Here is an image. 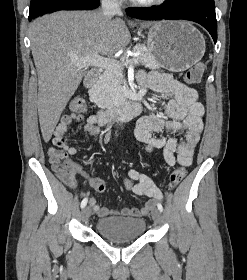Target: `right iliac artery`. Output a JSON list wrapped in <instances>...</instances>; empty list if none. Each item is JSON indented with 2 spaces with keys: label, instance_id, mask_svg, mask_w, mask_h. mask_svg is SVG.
I'll return each mask as SVG.
<instances>
[{
  "label": "right iliac artery",
  "instance_id": "obj_1",
  "mask_svg": "<svg viewBox=\"0 0 247 280\" xmlns=\"http://www.w3.org/2000/svg\"><path fill=\"white\" fill-rule=\"evenodd\" d=\"M87 201L88 199L87 198H84L81 202V208H84L86 205H87Z\"/></svg>",
  "mask_w": 247,
  "mask_h": 280
}]
</instances>
